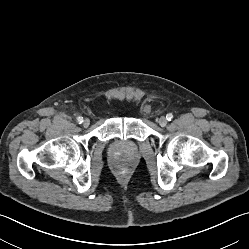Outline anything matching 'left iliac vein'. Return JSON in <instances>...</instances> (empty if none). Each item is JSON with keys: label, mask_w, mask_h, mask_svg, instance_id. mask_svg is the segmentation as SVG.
<instances>
[{"label": "left iliac vein", "mask_w": 249, "mask_h": 249, "mask_svg": "<svg viewBox=\"0 0 249 249\" xmlns=\"http://www.w3.org/2000/svg\"><path fill=\"white\" fill-rule=\"evenodd\" d=\"M158 123L160 126L164 127L167 124V119L164 116H162L158 119Z\"/></svg>", "instance_id": "left-iliac-vein-1"}]
</instances>
